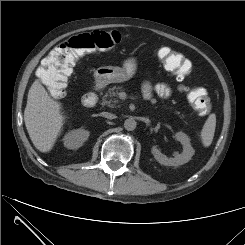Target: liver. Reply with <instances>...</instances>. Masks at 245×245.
<instances>
[{"mask_svg":"<svg viewBox=\"0 0 245 245\" xmlns=\"http://www.w3.org/2000/svg\"><path fill=\"white\" fill-rule=\"evenodd\" d=\"M24 121L34 146L43 153L49 152L61 131L64 117L61 103L49 96L39 79L29 89Z\"/></svg>","mask_w":245,"mask_h":245,"instance_id":"6515ba94","label":"liver"}]
</instances>
